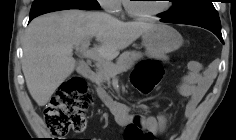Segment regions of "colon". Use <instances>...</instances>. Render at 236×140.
Listing matches in <instances>:
<instances>
[{
  "instance_id": "obj_1",
  "label": "colon",
  "mask_w": 236,
  "mask_h": 140,
  "mask_svg": "<svg viewBox=\"0 0 236 140\" xmlns=\"http://www.w3.org/2000/svg\"><path fill=\"white\" fill-rule=\"evenodd\" d=\"M163 75L162 65L153 60L139 63L132 74V82L143 94H150L158 86ZM93 97L86 82L71 76L62 83L44 110L48 130L56 137H64L70 130L80 132L86 125V111ZM151 133L144 127L143 116L134 115L126 125L125 140H152Z\"/></svg>"
}]
</instances>
